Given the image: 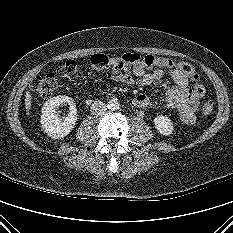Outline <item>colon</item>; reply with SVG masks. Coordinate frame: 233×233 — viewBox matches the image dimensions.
Here are the masks:
<instances>
[{"label":"colon","instance_id":"colon-1","mask_svg":"<svg viewBox=\"0 0 233 233\" xmlns=\"http://www.w3.org/2000/svg\"><path fill=\"white\" fill-rule=\"evenodd\" d=\"M113 63L119 64H141L147 68L169 67L175 68L186 74L193 81V92L199 97L205 95V87L199 80L195 69L186 62L174 61L169 58L156 57L154 55H140L138 53H124L121 55H108L105 53L95 54L90 59L92 69H102L111 66ZM79 74L78 64L75 60H68L58 68L57 74H46L34 78L30 84L31 89L40 97L52 96L60 87L63 78L75 79ZM213 111L211 102L204 103L202 112L209 116Z\"/></svg>","mask_w":233,"mask_h":233}]
</instances>
